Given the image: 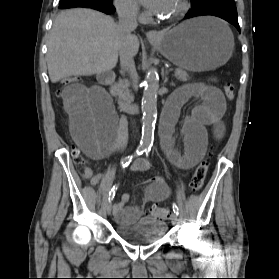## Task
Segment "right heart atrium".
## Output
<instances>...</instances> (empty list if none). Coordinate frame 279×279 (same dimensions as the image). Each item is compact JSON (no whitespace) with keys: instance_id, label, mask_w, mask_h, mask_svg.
Here are the masks:
<instances>
[{"instance_id":"1","label":"right heart atrium","mask_w":279,"mask_h":279,"mask_svg":"<svg viewBox=\"0 0 279 279\" xmlns=\"http://www.w3.org/2000/svg\"><path fill=\"white\" fill-rule=\"evenodd\" d=\"M114 4L120 16L124 18L144 17L136 0H114Z\"/></svg>"}]
</instances>
